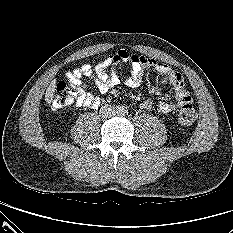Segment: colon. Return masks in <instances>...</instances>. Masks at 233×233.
I'll list each match as a JSON object with an SVG mask.
<instances>
[{
    "label": "colon",
    "instance_id": "5ec220e1",
    "mask_svg": "<svg viewBox=\"0 0 233 233\" xmlns=\"http://www.w3.org/2000/svg\"><path fill=\"white\" fill-rule=\"evenodd\" d=\"M77 98V92L68 83L59 82L55 88V96L53 101V108L59 109L70 105ZM179 121L184 125L192 124L196 118L197 113L191 104H185L181 107L178 115Z\"/></svg>",
    "mask_w": 233,
    "mask_h": 233
}]
</instances>
